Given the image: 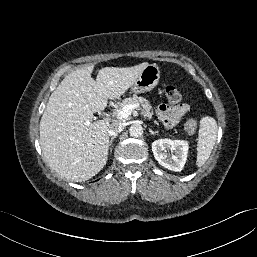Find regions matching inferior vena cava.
<instances>
[{"mask_svg":"<svg viewBox=\"0 0 257 257\" xmlns=\"http://www.w3.org/2000/svg\"><path fill=\"white\" fill-rule=\"evenodd\" d=\"M123 130V125L121 123H112L109 125L108 135L115 136Z\"/></svg>","mask_w":257,"mask_h":257,"instance_id":"inferior-vena-cava-1","label":"inferior vena cava"}]
</instances>
